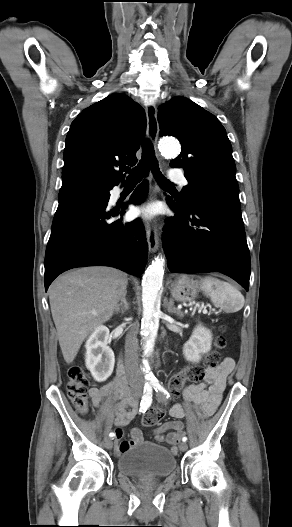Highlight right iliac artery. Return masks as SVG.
I'll list each match as a JSON object with an SVG mask.
<instances>
[{
    "instance_id": "obj_1",
    "label": "right iliac artery",
    "mask_w": 292,
    "mask_h": 527,
    "mask_svg": "<svg viewBox=\"0 0 292 527\" xmlns=\"http://www.w3.org/2000/svg\"><path fill=\"white\" fill-rule=\"evenodd\" d=\"M152 385L151 384H146L145 387H144V394L142 396V400H141V403H140V412H145L147 410V408L151 405L152 403ZM109 436L111 438H113L115 436V433L114 432H111L109 434Z\"/></svg>"
}]
</instances>
